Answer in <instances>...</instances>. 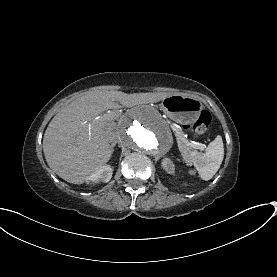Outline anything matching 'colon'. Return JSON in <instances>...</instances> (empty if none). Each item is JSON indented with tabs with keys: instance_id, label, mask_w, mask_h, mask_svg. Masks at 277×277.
Masks as SVG:
<instances>
[{
	"instance_id": "obj_1",
	"label": "colon",
	"mask_w": 277,
	"mask_h": 277,
	"mask_svg": "<svg viewBox=\"0 0 277 277\" xmlns=\"http://www.w3.org/2000/svg\"><path fill=\"white\" fill-rule=\"evenodd\" d=\"M211 121V116L206 110H202L199 113V119L194 124H185L184 127L187 130H191L193 132H203L209 126Z\"/></svg>"
}]
</instances>
